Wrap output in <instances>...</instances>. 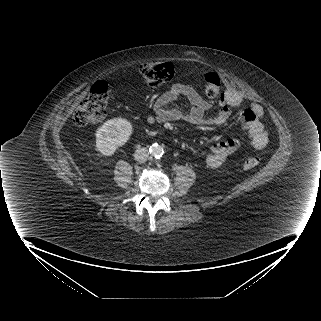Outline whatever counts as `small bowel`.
Segmentation results:
<instances>
[{"instance_id":"obj_1","label":"small bowel","mask_w":321,"mask_h":321,"mask_svg":"<svg viewBox=\"0 0 321 321\" xmlns=\"http://www.w3.org/2000/svg\"><path fill=\"white\" fill-rule=\"evenodd\" d=\"M181 98H186L191 105L188 113L178 109H166L167 104ZM242 101L243 97L240 93L229 90L218 102L217 114L208 118L206 114L211 108V103L192 86L176 84L155 99L146 121L148 124L182 120L192 124L222 125L232 117L234 108L238 107ZM263 114L262 106L253 103L242 110L238 116L242 131L246 132L250 145L255 150L263 149L268 143V132L262 122ZM239 144L238 138L214 143L206 155V165L211 169L220 167L227 157L237 150Z\"/></svg>"}]
</instances>
